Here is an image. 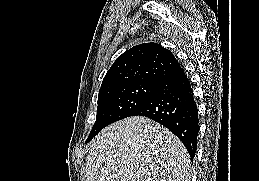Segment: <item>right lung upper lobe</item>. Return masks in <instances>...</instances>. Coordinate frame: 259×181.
<instances>
[{
    "instance_id": "cb5924a9",
    "label": "right lung upper lobe",
    "mask_w": 259,
    "mask_h": 181,
    "mask_svg": "<svg viewBox=\"0 0 259 181\" xmlns=\"http://www.w3.org/2000/svg\"><path fill=\"white\" fill-rule=\"evenodd\" d=\"M180 68L174 55L157 43H144L121 54L106 73L100 92L136 83L158 84Z\"/></svg>"
}]
</instances>
